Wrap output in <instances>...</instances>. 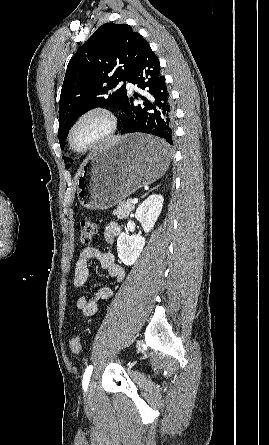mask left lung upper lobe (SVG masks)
Here are the masks:
<instances>
[{
	"label": "left lung upper lobe",
	"instance_id": "1",
	"mask_svg": "<svg viewBox=\"0 0 269 445\" xmlns=\"http://www.w3.org/2000/svg\"><path fill=\"white\" fill-rule=\"evenodd\" d=\"M148 47L129 25L105 23L79 48L68 63L60 95L61 148L72 124L88 110L103 106L123 111L126 81ZM121 81L124 84L117 88ZM68 161L72 159L64 157Z\"/></svg>",
	"mask_w": 269,
	"mask_h": 445
}]
</instances>
